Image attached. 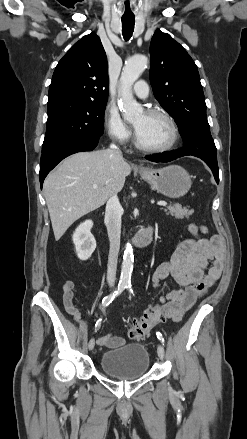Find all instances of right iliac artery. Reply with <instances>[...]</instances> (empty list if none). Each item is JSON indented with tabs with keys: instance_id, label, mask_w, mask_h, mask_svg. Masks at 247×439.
I'll use <instances>...</instances> for the list:
<instances>
[{
	"instance_id": "obj_1",
	"label": "right iliac artery",
	"mask_w": 247,
	"mask_h": 439,
	"mask_svg": "<svg viewBox=\"0 0 247 439\" xmlns=\"http://www.w3.org/2000/svg\"><path fill=\"white\" fill-rule=\"evenodd\" d=\"M126 287L127 285H125L124 283H119L118 288L113 293L103 298L102 309L106 308L119 294H121L125 290ZM100 327L101 319H99L95 325L96 330H98Z\"/></svg>"
}]
</instances>
